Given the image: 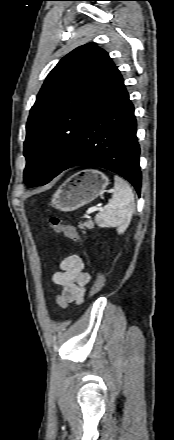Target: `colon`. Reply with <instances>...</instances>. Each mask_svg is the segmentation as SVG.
Wrapping results in <instances>:
<instances>
[{"mask_svg": "<svg viewBox=\"0 0 174 440\" xmlns=\"http://www.w3.org/2000/svg\"><path fill=\"white\" fill-rule=\"evenodd\" d=\"M47 226L58 233H62L65 237L75 241V242H79L80 241V236L78 234V232L76 231V229L70 225H66L64 224L60 218L56 217V216H50L48 217L47 221ZM105 283V277L102 273L98 272L96 274V278L95 281L92 285L91 288V296L94 297L96 296L103 288Z\"/></svg>", "mask_w": 174, "mask_h": 440, "instance_id": "5ec220e1", "label": "colon"}]
</instances>
